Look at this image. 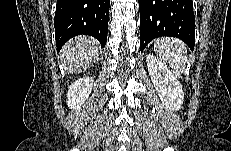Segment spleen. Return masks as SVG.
Here are the masks:
<instances>
[{
	"mask_svg": "<svg viewBox=\"0 0 231 151\" xmlns=\"http://www.w3.org/2000/svg\"><path fill=\"white\" fill-rule=\"evenodd\" d=\"M157 55L166 61L176 76H180L188 61L187 48L184 42L177 38H159L154 42Z\"/></svg>",
	"mask_w": 231,
	"mask_h": 151,
	"instance_id": "1",
	"label": "spleen"
}]
</instances>
